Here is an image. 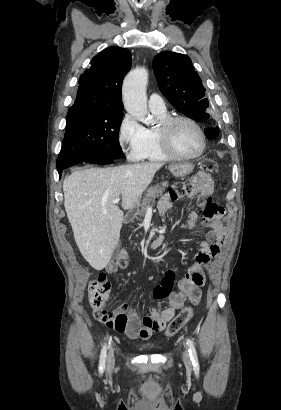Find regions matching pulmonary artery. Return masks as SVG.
<instances>
[{
    "label": "pulmonary artery",
    "instance_id": "1",
    "mask_svg": "<svg viewBox=\"0 0 281 410\" xmlns=\"http://www.w3.org/2000/svg\"><path fill=\"white\" fill-rule=\"evenodd\" d=\"M148 105L151 110H155V111H165L166 110V106H165V102L163 98L157 93L150 94Z\"/></svg>",
    "mask_w": 281,
    "mask_h": 410
}]
</instances>
